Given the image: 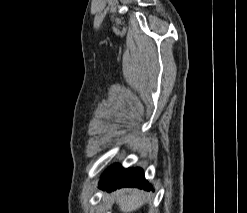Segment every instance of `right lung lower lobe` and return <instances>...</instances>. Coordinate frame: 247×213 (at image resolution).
Returning a JSON list of instances; mask_svg holds the SVG:
<instances>
[{
    "mask_svg": "<svg viewBox=\"0 0 247 213\" xmlns=\"http://www.w3.org/2000/svg\"><path fill=\"white\" fill-rule=\"evenodd\" d=\"M99 187L108 191L122 187L152 189V186L145 180L141 168L124 169L119 164H114L103 174Z\"/></svg>",
    "mask_w": 247,
    "mask_h": 213,
    "instance_id": "1",
    "label": "right lung lower lobe"
}]
</instances>
